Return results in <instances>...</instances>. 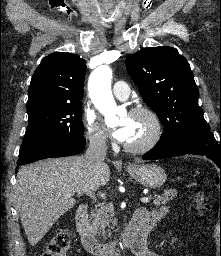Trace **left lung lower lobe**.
<instances>
[{
    "label": "left lung lower lobe",
    "mask_w": 221,
    "mask_h": 256,
    "mask_svg": "<svg viewBox=\"0 0 221 256\" xmlns=\"http://www.w3.org/2000/svg\"><path fill=\"white\" fill-rule=\"evenodd\" d=\"M184 154L206 156L221 170V141L217 142L210 128L192 132L179 131L171 137L161 138L144 160L164 159Z\"/></svg>",
    "instance_id": "1"
}]
</instances>
